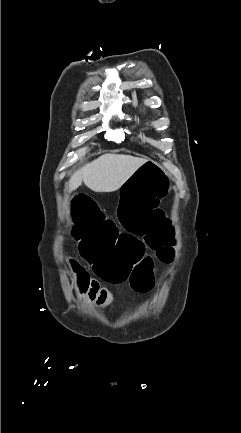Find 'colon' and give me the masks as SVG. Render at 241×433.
Instances as JSON below:
<instances>
[{
    "label": "colon",
    "instance_id": "obj_1",
    "mask_svg": "<svg viewBox=\"0 0 241 433\" xmlns=\"http://www.w3.org/2000/svg\"><path fill=\"white\" fill-rule=\"evenodd\" d=\"M135 171L124 182L117 201L120 224L125 230H119L114 220H106V213L101 212L100 205L87 192L72 193L70 218L76 221L72 236L79 257L90 270L109 283L130 279L132 287L142 292L151 287L154 268L146 247L154 250L162 263L174 259V231L166 227L171 226L172 215L159 207V201L171 195L176 180L169 177L166 166L156 157L145 159L144 164L136 165ZM65 263L75 272V293L86 292L89 274L80 259L67 258Z\"/></svg>",
    "mask_w": 241,
    "mask_h": 433
}]
</instances>
